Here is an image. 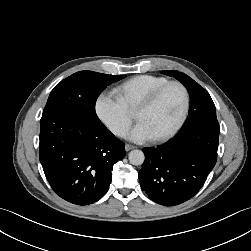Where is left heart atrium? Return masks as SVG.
Instances as JSON below:
<instances>
[{"mask_svg": "<svg viewBox=\"0 0 251 251\" xmlns=\"http://www.w3.org/2000/svg\"><path fill=\"white\" fill-rule=\"evenodd\" d=\"M126 137L135 142H145L154 139V136L148 126L139 121L126 135Z\"/></svg>", "mask_w": 251, "mask_h": 251, "instance_id": "1", "label": "left heart atrium"}]
</instances>
